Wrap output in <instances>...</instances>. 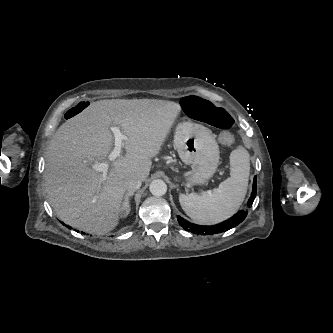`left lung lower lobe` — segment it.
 Masks as SVG:
<instances>
[{"instance_id":"left-lung-lower-lobe-1","label":"left lung lower lobe","mask_w":333,"mask_h":333,"mask_svg":"<svg viewBox=\"0 0 333 333\" xmlns=\"http://www.w3.org/2000/svg\"><path fill=\"white\" fill-rule=\"evenodd\" d=\"M257 179L256 176L254 177L253 180V190L251 193V196L248 200L247 205L250 206L253 204V201L256 196V191H257ZM247 211H239L236 215H234L232 218L226 220L225 222H222L217 225L213 226H202V225H196L193 223H190L189 221L183 219L180 216H177L179 224L188 232H192L194 234H202V235H212V234H217L221 232H226L229 229L236 227L238 224H240L245 217L247 216Z\"/></svg>"}]
</instances>
